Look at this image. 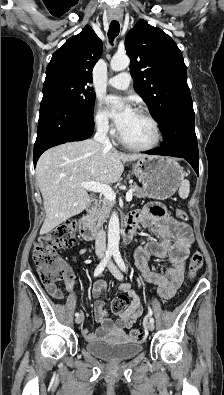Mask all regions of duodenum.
<instances>
[{
	"label": "duodenum",
	"instance_id": "duodenum-1",
	"mask_svg": "<svg viewBox=\"0 0 224 395\" xmlns=\"http://www.w3.org/2000/svg\"><path fill=\"white\" fill-rule=\"evenodd\" d=\"M98 200L92 199L90 205L87 207L85 213L78 220V229L80 236L87 241H92L95 239L97 234V228L94 226L91 220V214L97 205ZM138 215L136 212L129 214L123 222V242L128 245L135 233L136 227L138 225Z\"/></svg>",
	"mask_w": 224,
	"mask_h": 395
}]
</instances>
